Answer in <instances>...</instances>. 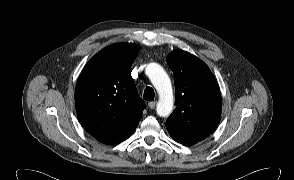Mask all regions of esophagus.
I'll use <instances>...</instances> for the list:
<instances>
[{
	"label": "esophagus",
	"mask_w": 294,
	"mask_h": 180,
	"mask_svg": "<svg viewBox=\"0 0 294 180\" xmlns=\"http://www.w3.org/2000/svg\"><path fill=\"white\" fill-rule=\"evenodd\" d=\"M148 106H149V108L154 109L155 106H156V102L151 101V102L148 103Z\"/></svg>",
	"instance_id": "obj_1"
}]
</instances>
